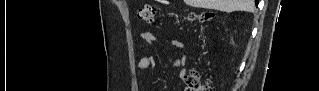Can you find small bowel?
<instances>
[{"label": "small bowel", "mask_w": 319, "mask_h": 91, "mask_svg": "<svg viewBox=\"0 0 319 91\" xmlns=\"http://www.w3.org/2000/svg\"><path fill=\"white\" fill-rule=\"evenodd\" d=\"M142 40L144 41L145 44L147 45H152L156 42V36L149 31H145L141 35ZM168 44L175 49H183L184 48V43L183 41L179 39H172L168 42ZM156 60L153 56H146L140 59L138 63V70L140 72L146 71L148 69H151L155 66ZM187 63V58L186 56H182L180 58H177L173 61V67L178 69V76L181 80H184L186 78L187 72L185 69V65Z\"/></svg>", "instance_id": "1"}]
</instances>
